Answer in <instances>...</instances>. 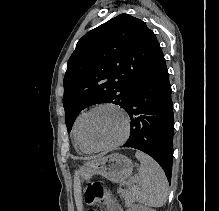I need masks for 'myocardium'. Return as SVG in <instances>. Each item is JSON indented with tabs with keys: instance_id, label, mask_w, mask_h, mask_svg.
<instances>
[{
	"instance_id": "obj_1",
	"label": "myocardium",
	"mask_w": 219,
	"mask_h": 211,
	"mask_svg": "<svg viewBox=\"0 0 219 211\" xmlns=\"http://www.w3.org/2000/svg\"><path fill=\"white\" fill-rule=\"evenodd\" d=\"M104 107L113 108V109L117 110L119 113H121V115L124 117V121H125L124 130H123V133L120 136V138H118L116 141H113V142L108 143V144L99 145V146H93V145H90L84 138V135H83L84 123H85V120L90 113H92L96 109L104 108ZM130 126H131L130 115L123 107H121L118 104L111 103V102L99 103V104L92 106L86 112L83 113V115L80 119L79 128H78L79 139L85 147H87L88 149H90L92 151L112 149V148L119 146L127 139L128 135H129Z\"/></svg>"
}]
</instances>
